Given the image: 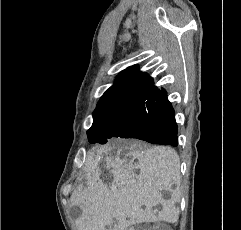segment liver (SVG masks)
I'll return each mask as SVG.
<instances>
[{
	"mask_svg": "<svg viewBox=\"0 0 241 230\" xmlns=\"http://www.w3.org/2000/svg\"><path fill=\"white\" fill-rule=\"evenodd\" d=\"M98 155L99 159L90 157L93 162L87 174V187L71 196V204L82 211L78 230H107L114 220L118 230L142 222L177 221L178 189L170 200L159 194L161 189L180 184V160L172 148L106 146L98 150ZM104 172L113 178L111 188L101 179ZM157 204L163 206L158 213L153 211Z\"/></svg>",
	"mask_w": 241,
	"mask_h": 230,
	"instance_id": "liver-1",
	"label": "liver"
}]
</instances>
